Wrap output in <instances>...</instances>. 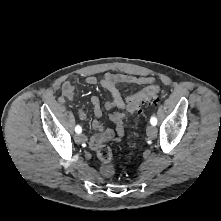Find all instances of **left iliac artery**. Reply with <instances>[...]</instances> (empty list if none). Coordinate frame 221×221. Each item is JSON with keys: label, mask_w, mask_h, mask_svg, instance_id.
<instances>
[{"label": "left iliac artery", "mask_w": 221, "mask_h": 221, "mask_svg": "<svg viewBox=\"0 0 221 221\" xmlns=\"http://www.w3.org/2000/svg\"><path fill=\"white\" fill-rule=\"evenodd\" d=\"M150 123L155 126L157 124V118L155 116H152L150 119Z\"/></svg>", "instance_id": "left-iliac-artery-1"}]
</instances>
